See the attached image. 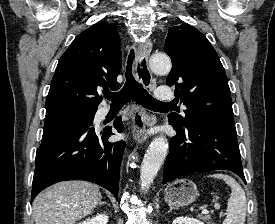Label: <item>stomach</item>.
<instances>
[{"mask_svg":"<svg viewBox=\"0 0 275 224\" xmlns=\"http://www.w3.org/2000/svg\"><path fill=\"white\" fill-rule=\"evenodd\" d=\"M197 196V187L189 179L175 180L165 189V201L176 207L187 206L193 203Z\"/></svg>","mask_w":275,"mask_h":224,"instance_id":"obj_1","label":"stomach"}]
</instances>
